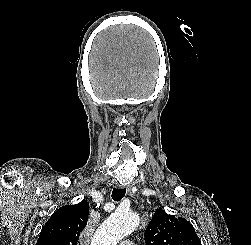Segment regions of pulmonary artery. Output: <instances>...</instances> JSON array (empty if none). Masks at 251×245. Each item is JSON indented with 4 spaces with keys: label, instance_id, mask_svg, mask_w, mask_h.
Segmentation results:
<instances>
[{
    "label": "pulmonary artery",
    "instance_id": "pulmonary-artery-1",
    "mask_svg": "<svg viewBox=\"0 0 251 245\" xmlns=\"http://www.w3.org/2000/svg\"><path fill=\"white\" fill-rule=\"evenodd\" d=\"M120 245H133V243L129 241H123Z\"/></svg>",
    "mask_w": 251,
    "mask_h": 245
}]
</instances>
